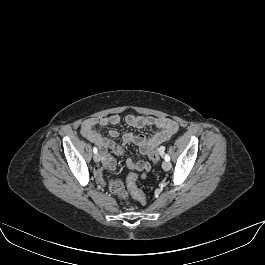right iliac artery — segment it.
<instances>
[{
	"label": "right iliac artery",
	"mask_w": 265,
	"mask_h": 265,
	"mask_svg": "<svg viewBox=\"0 0 265 265\" xmlns=\"http://www.w3.org/2000/svg\"><path fill=\"white\" fill-rule=\"evenodd\" d=\"M93 152L96 154L98 152V149L96 147H94Z\"/></svg>",
	"instance_id": "obj_1"
}]
</instances>
